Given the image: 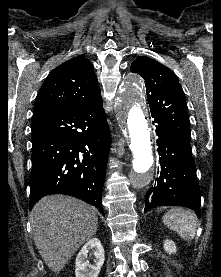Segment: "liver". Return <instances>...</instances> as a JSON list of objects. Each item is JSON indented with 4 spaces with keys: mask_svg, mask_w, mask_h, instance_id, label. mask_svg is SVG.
<instances>
[{
    "mask_svg": "<svg viewBox=\"0 0 221 277\" xmlns=\"http://www.w3.org/2000/svg\"><path fill=\"white\" fill-rule=\"evenodd\" d=\"M33 240L45 264L59 273L97 231V210L73 197L51 195L31 211Z\"/></svg>",
    "mask_w": 221,
    "mask_h": 277,
    "instance_id": "liver-1",
    "label": "liver"
}]
</instances>
